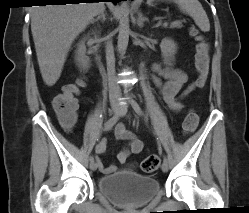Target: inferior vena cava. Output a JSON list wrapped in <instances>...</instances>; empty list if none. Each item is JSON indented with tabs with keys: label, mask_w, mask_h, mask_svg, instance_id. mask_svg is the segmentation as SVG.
Returning <instances> with one entry per match:
<instances>
[{
	"label": "inferior vena cava",
	"mask_w": 249,
	"mask_h": 213,
	"mask_svg": "<svg viewBox=\"0 0 249 213\" xmlns=\"http://www.w3.org/2000/svg\"><path fill=\"white\" fill-rule=\"evenodd\" d=\"M105 52H106V62H107V74L110 92H119V87L115 79V58H114V49L111 40V36L105 38Z\"/></svg>",
	"instance_id": "602c4592"
}]
</instances>
